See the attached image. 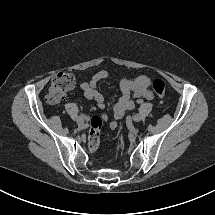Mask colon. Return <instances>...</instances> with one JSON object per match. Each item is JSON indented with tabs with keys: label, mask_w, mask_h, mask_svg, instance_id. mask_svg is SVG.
Here are the masks:
<instances>
[{
	"label": "colon",
	"mask_w": 215,
	"mask_h": 215,
	"mask_svg": "<svg viewBox=\"0 0 215 215\" xmlns=\"http://www.w3.org/2000/svg\"><path fill=\"white\" fill-rule=\"evenodd\" d=\"M76 83L75 76L70 72H59L52 79L51 86L46 95V101L49 104L55 105L60 103L66 93L74 88ZM152 87L157 96L166 101L167 92L165 83L162 80H154ZM102 120L99 117H93L90 120V130L88 135V147L91 152H94L99 147L100 130Z\"/></svg>",
	"instance_id": "colon-1"
}]
</instances>
